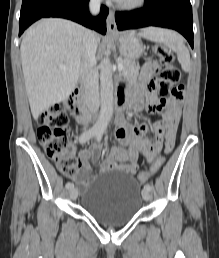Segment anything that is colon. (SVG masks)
<instances>
[{
    "label": "colon",
    "mask_w": 219,
    "mask_h": 258,
    "mask_svg": "<svg viewBox=\"0 0 219 258\" xmlns=\"http://www.w3.org/2000/svg\"><path fill=\"white\" fill-rule=\"evenodd\" d=\"M154 53L160 59L162 66L160 76L155 81L159 95L161 97L169 95L181 97L184 92V87L181 84L182 73L176 65L174 55L163 45H156ZM37 121V137L47 157L57 164L62 173L73 176L77 170V165L69 155L68 114L56 106H51L39 114ZM163 164L164 157L159 156L149 171L138 173L137 180L141 183L148 181L162 169Z\"/></svg>",
    "instance_id": "colon-1"
}]
</instances>
